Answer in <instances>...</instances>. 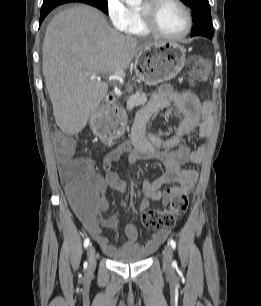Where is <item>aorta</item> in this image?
I'll use <instances>...</instances> for the list:
<instances>
[{"mask_svg":"<svg viewBox=\"0 0 261 306\" xmlns=\"http://www.w3.org/2000/svg\"><path fill=\"white\" fill-rule=\"evenodd\" d=\"M125 1L128 5H137L140 4L141 0H123Z\"/></svg>","mask_w":261,"mask_h":306,"instance_id":"1","label":"aorta"}]
</instances>
